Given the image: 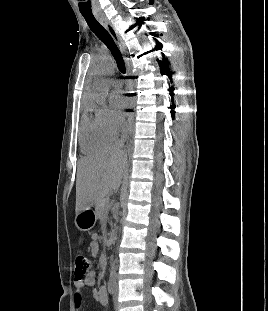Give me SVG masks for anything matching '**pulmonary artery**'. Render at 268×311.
<instances>
[{
    "mask_svg": "<svg viewBox=\"0 0 268 311\" xmlns=\"http://www.w3.org/2000/svg\"><path fill=\"white\" fill-rule=\"evenodd\" d=\"M110 84L113 88L119 89L122 86L123 82L120 79H111Z\"/></svg>",
    "mask_w": 268,
    "mask_h": 311,
    "instance_id": "1",
    "label": "pulmonary artery"
}]
</instances>
